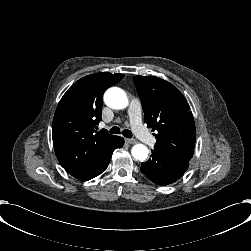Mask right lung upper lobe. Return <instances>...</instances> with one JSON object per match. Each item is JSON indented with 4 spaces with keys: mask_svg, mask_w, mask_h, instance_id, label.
<instances>
[{
    "mask_svg": "<svg viewBox=\"0 0 251 251\" xmlns=\"http://www.w3.org/2000/svg\"><path fill=\"white\" fill-rule=\"evenodd\" d=\"M123 74L109 72L87 75L61 98L52 124L54 150L61 166L82 179L108 160L121 137L97 132L101 121L103 93Z\"/></svg>",
    "mask_w": 251,
    "mask_h": 251,
    "instance_id": "1",
    "label": "right lung upper lobe"
}]
</instances>
